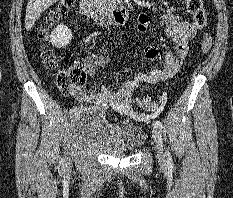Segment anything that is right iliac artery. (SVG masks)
<instances>
[{"mask_svg":"<svg viewBox=\"0 0 233 198\" xmlns=\"http://www.w3.org/2000/svg\"><path fill=\"white\" fill-rule=\"evenodd\" d=\"M76 112H77V108L76 107L72 108L71 111H70L71 116L76 114Z\"/></svg>","mask_w":233,"mask_h":198,"instance_id":"obj_1","label":"right iliac artery"}]
</instances>
